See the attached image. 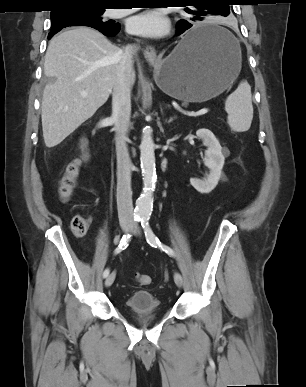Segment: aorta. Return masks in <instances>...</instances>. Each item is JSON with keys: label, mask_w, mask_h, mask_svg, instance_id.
Segmentation results:
<instances>
[{"label": "aorta", "mask_w": 306, "mask_h": 387, "mask_svg": "<svg viewBox=\"0 0 306 387\" xmlns=\"http://www.w3.org/2000/svg\"><path fill=\"white\" fill-rule=\"evenodd\" d=\"M154 142L151 130H143L140 144V162L143 176V189L136 200L135 214L141 218H147L153 210V193L156 183Z\"/></svg>", "instance_id": "obj_1"}]
</instances>
